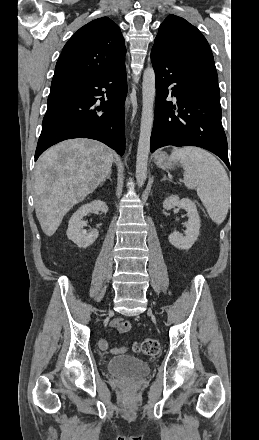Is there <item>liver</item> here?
<instances>
[{"label":"liver","mask_w":259,"mask_h":440,"mask_svg":"<svg viewBox=\"0 0 259 440\" xmlns=\"http://www.w3.org/2000/svg\"><path fill=\"white\" fill-rule=\"evenodd\" d=\"M115 153L92 139H69L45 151L35 167L34 201L43 232L52 236L63 217L100 185Z\"/></svg>","instance_id":"liver-1"}]
</instances>
